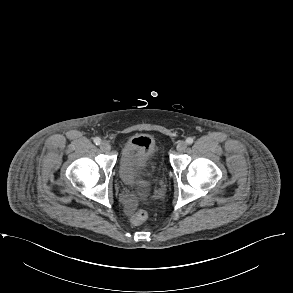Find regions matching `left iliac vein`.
Wrapping results in <instances>:
<instances>
[{"label": "left iliac vein", "mask_w": 293, "mask_h": 293, "mask_svg": "<svg viewBox=\"0 0 293 293\" xmlns=\"http://www.w3.org/2000/svg\"><path fill=\"white\" fill-rule=\"evenodd\" d=\"M186 148H187V143L185 141H180L176 146L177 151L180 153L184 152Z\"/></svg>", "instance_id": "1"}]
</instances>
